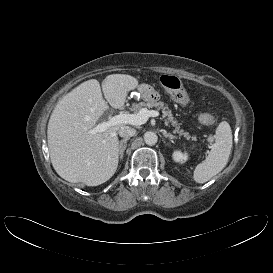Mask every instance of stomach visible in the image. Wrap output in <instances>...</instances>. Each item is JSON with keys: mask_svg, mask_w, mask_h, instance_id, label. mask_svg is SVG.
I'll list each match as a JSON object with an SVG mask.
<instances>
[{"mask_svg": "<svg viewBox=\"0 0 273 273\" xmlns=\"http://www.w3.org/2000/svg\"><path fill=\"white\" fill-rule=\"evenodd\" d=\"M134 97L137 99H143L144 101L153 102L155 101L156 92L151 86L142 84L138 87V92L134 94Z\"/></svg>", "mask_w": 273, "mask_h": 273, "instance_id": "obj_1", "label": "stomach"}]
</instances>
